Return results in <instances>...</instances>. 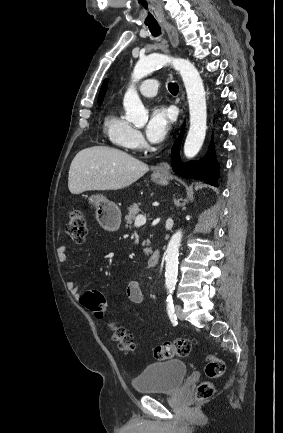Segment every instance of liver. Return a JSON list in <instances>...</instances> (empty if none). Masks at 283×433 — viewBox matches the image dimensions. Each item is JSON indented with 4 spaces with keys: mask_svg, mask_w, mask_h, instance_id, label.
I'll return each instance as SVG.
<instances>
[{
    "mask_svg": "<svg viewBox=\"0 0 283 433\" xmlns=\"http://www.w3.org/2000/svg\"><path fill=\"white\" fill-rule=\"evenodd\" d=\"M149 166L131 154L111 146H90L74 156L68 176V188L73 194L84 190H117L125 188Z\"/></svg>",
    "mask_w": 283,
    "mask_h": 433,
    "instance_id": "1",
    "label": "liver"
}]
</instances>
